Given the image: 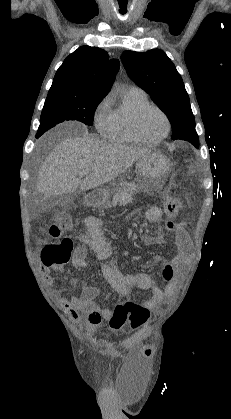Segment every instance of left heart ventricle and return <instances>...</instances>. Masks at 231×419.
Listing matches in <instances>:
<instances>
[{"instance_id": "b2bd125f", "label": "left heart ventricle", "mask_w": 231, "mask_h": 419, "mask_svg": "<svg viewBox=\"0 0 231 419\" xmlns=\"http://www.w3.org/2000/svg\"><path fill=\"white\" fill-rule=\"evenodd\" d=\"M140 130L147 139H157L166 131L165 119L157 110L149 109L141 117Z\"/></svg>"}]
</instances>
